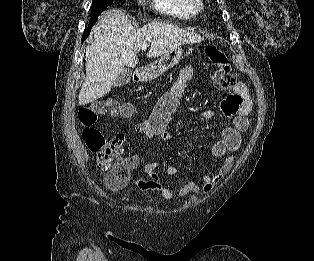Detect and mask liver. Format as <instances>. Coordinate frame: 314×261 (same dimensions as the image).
Segmentation results:
<instances>
[{
  "label": "liver",
  "mask_w": 314,
  "mask_h": 261,
  "mask_svg": "<svg viewBox=\"0 0 314 261\" xmlns=\"http://www.w3.org/2000/svg\"><path fill=\"white\" fill-rule=\"evenodd\" d=\"M92 44L86 47V77L79 93V104L94 102L110 92L124 67L138 64L137 53L150 45L147 57L156 58L184 44L202 38L176 25L148 23L134 29L126 13L109 9L96 23Z\"/></svg>",
  "instance_id": "liver-1"
}]
</instances>
